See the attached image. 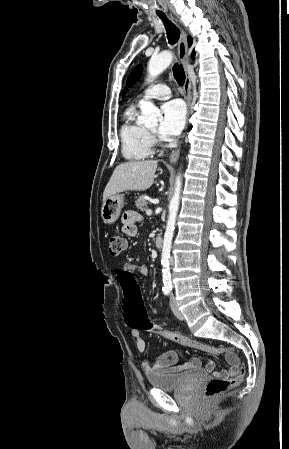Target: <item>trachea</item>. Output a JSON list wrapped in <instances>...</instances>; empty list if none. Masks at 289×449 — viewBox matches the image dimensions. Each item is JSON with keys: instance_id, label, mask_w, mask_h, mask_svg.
<instances>
[{"instance_id": "trachea-1", "label": "trachea", "mask_w": 289, "mask_h": 449, "mask_svg": "<svg viewBox=\"0 0 289 449\" xmlns=\"http://www.w3.org/2000/svg\"><path fill=\"white\" fill-rule=\"evenodd\" d=\"M160 19L163 21L165 28H166V33H167V39L170 45H174L175 43L178 42L179 37H180V31L178 29V27L176 25H174L171 21H169L166 16L164 15V13H158L157 14ZM173 75L174 78L176 79L177 83L182 86L185 82V72L183 69L182 64H178L175 63L173 65Z\"/></svg>"}]
</instances>
